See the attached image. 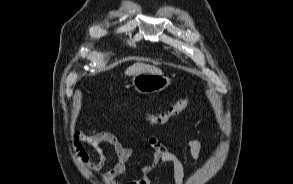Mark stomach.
Returning a JSON list of instances; mask_svg holds the SVG:
<instances>
[{
    "mask_svg": "<svg viewBox=\"0 0 293 184\" xmlns=\"http://www.w3.org/2000/svg\"><path fill=\"white\" fill-rule=\"evenodd\" d=\"M171 79L163 74L139 73L133 76L132 86L140 94H150L165 90Z\"/></svg>",
    "mask_w": 293,
    "mask_h": 184,
    "instance_id": "1",
    "label": "stomach"
}]
</instances>
